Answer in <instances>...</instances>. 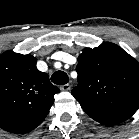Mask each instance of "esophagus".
Here are the masks:
<instances>
[{"label": "esophagus", "mask_w": 139, "mask_h": 139, "mask_svg": "<svg viewBox=\"0 0 139 139\" xmlns=\"http://www.w3.org/2000/svg\"><path fill=\"white\" fill-rule=\"evenodd\" d=\"M60 89H61L62 91H68V90L71 89V86H70L69 84H64V85H62V86L60 87Z\"/></svg>", "instance_id": "1"}]
</instances>
